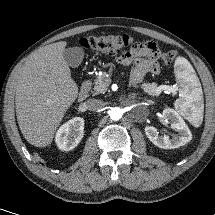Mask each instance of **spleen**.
<instances>
[{
    "label": "spleen",
    "instance_id": "obj_1",
    "mask_svg": "<svg viewBox=\"0 0 215 215\" xmlns=\"http://www.w3.org/2000/svg\"><path fill=\"white\" fill-rule=\"evenodd\" d=\"M175 73L180 85L179 98L175 101L174 107L178 113L193 121L195 116L202 112L201 89L197 78L193 73L189 62L178 57L175 61Z\"/></svg>",
    "mask_w": 215,
    "mask_h": 215
}]
</instances>
